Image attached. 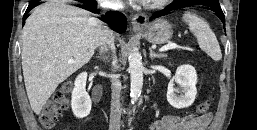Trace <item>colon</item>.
Segmentation results:
<instances>
[{
    "label": "colon",
    "mask_w": 257,
    "mask_h": 130,
    "mask_svg": "<svg viewBox=\"0 0 257 130\" xmlns=\"http://www.w3.org/2000/svg\"><path fill=\"white\" fill-rule=\"evenodd\" d=\"M73 84L67 82L62 89L57 91L52 99L45 105L43 112L40 116V121L45 128H52L58 121L63 111L68 107V94L70 93ZM213 96H210L197 107V113L200 115L207 114L211 100Z\"/></svg>",
    "instance_id": "colon-1"
}]
</instances>
